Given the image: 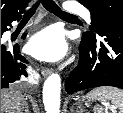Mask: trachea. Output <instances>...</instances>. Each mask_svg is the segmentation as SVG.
I'll list each match as a JSON object with an SVG mask.
<instances>
[{"label": "trachea", "mask_w": 123, "mask_h": 113, "mask_svg": "<svg viewBox=\"0 0 123 113\" xmlns=\"http://www.w3.org/2000/svg\"><path fill=\"white\" fill-rule=\"evenodd\" d=\"M42 3L44 8L49 12L64 18H76L75 15L64 12L60 9V7L53 0H40L36 2L24 15L25 18H30L35 13L39 4Z\"/></svg>", "instance_id": "3493384b"}]
</instances>
